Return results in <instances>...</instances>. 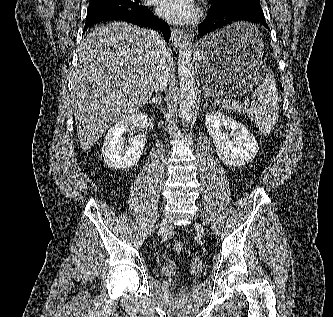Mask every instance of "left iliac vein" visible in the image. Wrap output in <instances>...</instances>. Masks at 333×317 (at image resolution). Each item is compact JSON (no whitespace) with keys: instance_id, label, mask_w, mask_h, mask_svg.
I'll return each mask as SVG.
<instances>
[{"instance_id":"4c4485c4","label":"left iliac vein","mask_w":333,"mask_h":317,"mask_svg":"<svg viewBox=\"0 0 333 317\" xmlns=\"http://www.w3.org/2000/svg\"><path fill=\"white\" fill-rule=\"evenodd\" d=\"M199 234L204 235V229L199 223L194 224Z\"/></svg>"}]
</instances>
